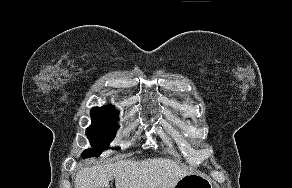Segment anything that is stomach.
Returning a JSON list of instances; mask_svg holds the SVG:
<instances>
[{"mask_svg": "<svg viewBox=\"0 0 292 188\" xmlns=\"http://www.w3.org/2000/svg\"><path fill=\"white\" fill-rule=\"evenodd\" d=\"M174 188H214L213 181L202 173H191L180 178Z\"/></svg>", "mask_w": 292, "mask_h": 188, "instance_id": "stomach-1", "label": "stomach"}]
</instances>
